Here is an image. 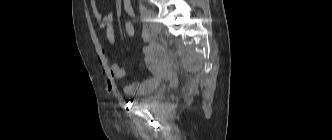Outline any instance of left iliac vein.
<instances>
[{"instance_id":"1","label":"left iliac vein","mask_w":332,"mask_h":140,"mask_svg":"<svg viewBox=\"0 0 332 140\" xmlns=\"http://www.w3.org/2000/svg\"><path fill=\"white\" fill-rule=\"evenodd\" d=\"M147 18L150 23V29L153 32H159L160 31V25L156 21L155 13L152 9H147Z\"/></svg>"}]
</instances>
